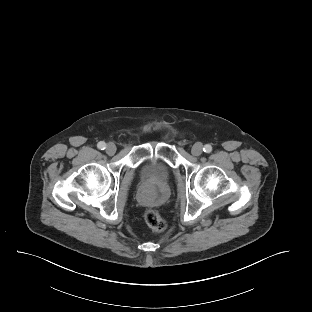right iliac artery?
Returning <instances> with one entry per match:
<instances>
[{
  "instance_id": "82829eb1",
  "label": "right iliac artery",
  "mask_w": 312,
  "mask_h": 312,
  "mask_svg": "<svg viewBox=\"0 0 312 312\" xmlns=\"http://www.w3.org/2000/svg\"><path fill=\"white\" fill-rule=\"evenodd\" d=\"M97 147L100 149V150H104L106 148V143L101 141L98 143Z\"/></svg>"
}]
</instances>
